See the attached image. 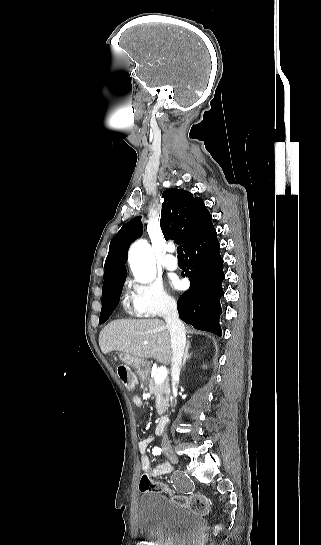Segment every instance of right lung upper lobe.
Returning a JSON list of instances; mask_svg holds the SVG:
<instances>
[{
	"instance_id": "cb5924a9",
	"label": "right lung upper lobe",
	"mask_w": 321,
	"mask_h": 545,
	"mask_svg": "<svg viewBox=\"0 0 321 545\" xmlns=\"http://www.w3.org/2000/svg\"><path fill=\"white\" fill-rule=\"evenodd\" d=\"M160 225L166 240L175 239L183 249L202 235L211 225L212 216L203 200L193 194L171 188L164 191ZM141 217L127 222L112 238L105 261L103 290L125 280L127 251L130 244L142 235Z\"/></svg>"
}]
</instances>
